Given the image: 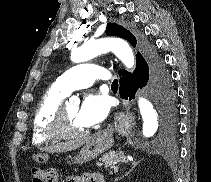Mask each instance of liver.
Segmentation results:
<instances>
[{
  "label": "liver",
  "mask_w": 211,
  "mask_h": 182,
  "mask_svg": "<svg viewBox=\"0 0 211 182\" xmlns=\"http://www.w3.org/2000/svg\"><path fill=\"white\" fill-rule=\"evenodd\" d=\"M89 139L90 137H85L79 141H69V142L59 143L55 145H49V146L41 147L40 150L46 151L49 153L71 151V150L79 148L80 146L85 144Z\"/></svg>",
  "instance_id": "obj_1"
}]
</instances>
